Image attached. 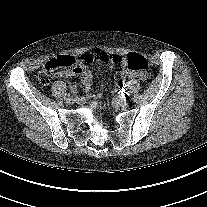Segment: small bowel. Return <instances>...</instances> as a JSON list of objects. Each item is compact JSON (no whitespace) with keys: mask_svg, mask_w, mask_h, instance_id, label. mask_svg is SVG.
<instances>
[{"mask_svg":"<svg viewBox=\"0 0 207 207\" xmlns=\"http://www.w3.org/2000/svg\"><path fill=\"white\" fill-rule=\"evenodd\" d=\"M59 76L60 77L80 76L85 90L90 91L92 89V73L84 65L79 67L74 72H71V71L60 72ZM115 77H116L117 84L114 89V92H116L117 90H119L121 88L120 82L123 77L144 79L145 74L135 73V72H132V71L128 70L127 68L123 67L120 71L117 72ZM99 99H101L100 96H99Z\"/></svg>","mask_w":207,"mask_h":207,"instance_id":"small-bowel-1","label":"small bowel"}]
</instances>
